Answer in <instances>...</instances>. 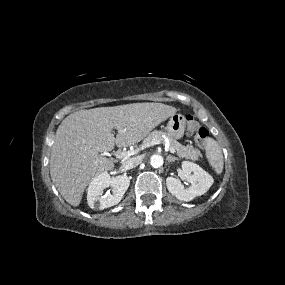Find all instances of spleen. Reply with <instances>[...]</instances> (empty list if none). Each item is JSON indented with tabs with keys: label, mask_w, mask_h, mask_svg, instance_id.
<instances>
[{
	"label": "spleen",
	"mask_w": 285,
	"mask_h": 285,
	"mask_svg": "<svg viewBox=\"0 0 285 285\" xmlns=\"http://www.w3.org/2000/svg\"><path fill=\"white\" fill-rule=\"evenodd\" d=\"M206 156L210 166L219 175L223 170V154L219 144L214 139H209L207 142Z\"/></svg>",
	"instance_id": "obj_1"
}]
</instances>
